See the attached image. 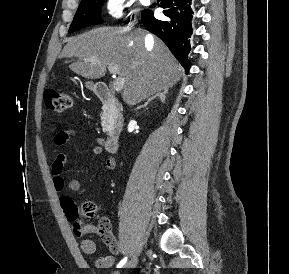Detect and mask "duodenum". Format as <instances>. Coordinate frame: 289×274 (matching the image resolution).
I'll return each mask as SVG.
<instances>
[{"instance_id": "obj_1", "label": "duodenum", "mask_w": 289, "mask_h": 274, "mask_svg": "<svg viewBox=\"0 0 289 274\" xmlns=\"http://www.w3.org/2000/svg\"><path fill=\"white\" fill-rule=\"evenodd\" d=\"M95 93L103 103L106 112L113 117V128L104 142V147L109 153H116L119 148V132L122 124V109L110 88L104 83L95 86Z\"/></svg>"}]
</instances>
